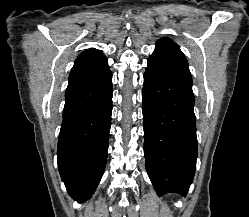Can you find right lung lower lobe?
Returning <instances> with one entry per match:
<instances>
[{"label":"right lung lower lobe","instance_id":"98d812e1","mask_svg":"<svg viewBox=\"0 0 249 217\" xmlns=\"http://www.w3.org/2000/svg\"><path fill=\"white\" fill-rule=\"evenodd\" d=\"M112 73L100 52L77 58L65 93L58 168L68 193L91 197L104 173L112 113Z\"/></svg>","mask_w":249,"mask_h":217}]
</instances>
